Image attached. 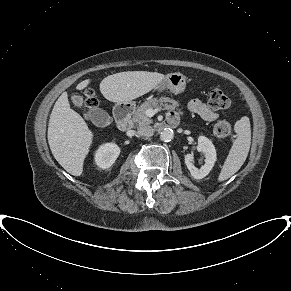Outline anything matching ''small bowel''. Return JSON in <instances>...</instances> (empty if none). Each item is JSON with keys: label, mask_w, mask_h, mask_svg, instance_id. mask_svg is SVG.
<instances>
[{"label": "small bowel", "mask_w": 291, "mask_h": 291, "mask_svg": "<svg viewBox=\"0 0 291 291\" xmlns=\"http://www.w3.org/2000/svg\"><path fill=\"white\" fill-rule=\"evenodd\" d=\"M188 109L209 122L215 121L218 118V113L200 99L191 100L188 103ZM170 117H175V115L172 114Z\"/></svg>", "instance_id": "obj_1"}]
</instances>
